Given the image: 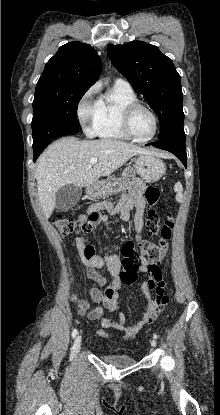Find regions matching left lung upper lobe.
Listing matches in <instances>:
<instances>
[{"mask_svg": "<svg viewBox=\"0 0 220 415\" xmlns=\"http://www.w3.org/2000/svg\"><path fill=\"white\" fill-rule=\"evenodd\" d=\"M114 67L146 98L160 123L159 139L183 130V93L172 60L157 46L142 41L109 45Z\"/></svg>", "mask_w": 220, "mask_h": 415, "instance_id": "5c2ea615", "label": "left lung upper lobe"}]
</instances>
